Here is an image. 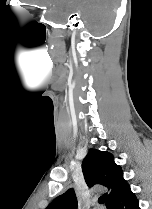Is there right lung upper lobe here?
<instances>
[{"label":"right lung upper lobe","instance_id":"obj_1","mask_svg":"<svg viewBox=\"0 0 152 209\" xmlns=\"http://www.w3.org/2000/svg\"><path fill=\"white\" fill-rule=\"evenodd\" d=\"M82 171L88 187L102 185L108 189L106 206L110 205L129 185L123 178V171L114 162L111 153L90 149L82 162ZM46 209H77L74 190L70 188L56 197Z\"/></svg>","mask_w":152,"mask_h":209}]
</instances>
